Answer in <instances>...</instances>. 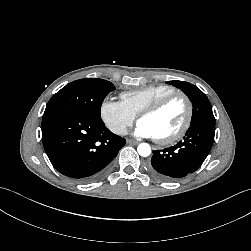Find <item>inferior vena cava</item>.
<instances>
[{"label":"inferior vena cava","mask_w":251,"mask_h":251,"mask_svg":"<svg viewBox=\"0 0 251 251\" xmlns=\"http://www.w3.org/2000/svg\"><path fill=\"white\" fill-rule=\"evenodd\" d=\"M115 133L118 135H126L127 134V128L125 126H121L115 130Z\"/></svg>","instance_id":"602c4592"}]
</instances>
